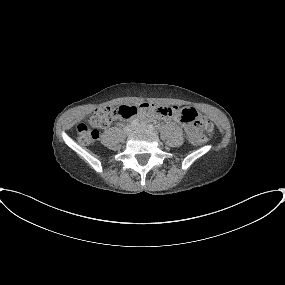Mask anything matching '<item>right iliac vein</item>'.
<instances>
[{
    "mask_svg": "<svg viewBox=\"0 0 285 285\" xmlns=\"http://www.w3.org/2000/svg\"><path fill=\"white\" fill-rule=\"evenodd\" d=\"M132 130H133V128L131 126H127V127L124 128V132L126 134H130L132 132Z\"/></svg>",
    "mask_w": 285,
    "mask_h": 285,
    "instance_id": "63e3f726",
    "label": "right iliac vein"
}]
</instances>
